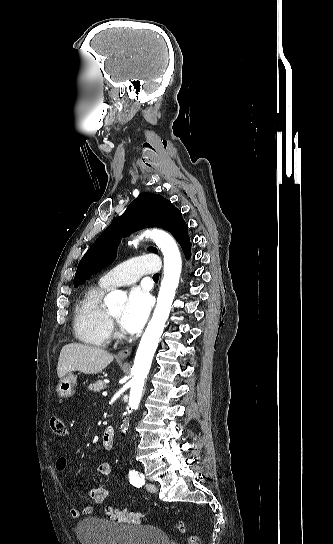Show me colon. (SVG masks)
I'll use <instances>...</instances> for the list:
<instances>
[{
	"label": "colon",
	"instance_id": "obj_1",
	"mask_svg": "<svg viewBox=\"0 0 333 544\" xmlns=\"http://www.w3.org/2000/svg\"><path fill=\"white\" fill-rule=\"evenodd\" d=\"M50 427L52 432L55 435L65 436L67 434L66 425L64 421L59 417L51 418ZM106 514L109 518L113 520L127 523V524L138 525L143 522V515L139 512H132L128 510H118L112 507H107ZM187 528H188V525L184 522H178L176 525V529L182 533L185 532ZM187 542L188 544H201L200 539L196 535L189 536Z\"/></svg>",
	"mask_w": 333,
	"mask_h": 544
}]
</instances>
